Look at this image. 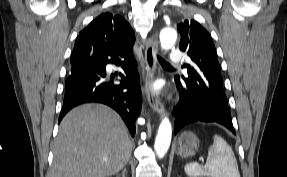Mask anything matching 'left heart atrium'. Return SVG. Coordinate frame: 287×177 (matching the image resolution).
Wrapping results in <instances>:
<instances>
[{
  "label": "left heart atrium",
  "instance_id": "obj_1",
  "mask_svg": "<svg viewBox=\"0 0 287 177\" xmlns=\"http://www.w3.org/2000/svg\"><path fill=\"white\" fill-rule=\"evenodd\" d=\"M161 85L160 83H153L152 84V89L155 90V91H158L160 89Z\"/></svg>",
  "mask_w": 287,
  "mask_h": 177
}]
</instances>
